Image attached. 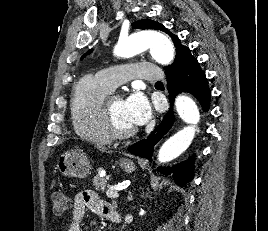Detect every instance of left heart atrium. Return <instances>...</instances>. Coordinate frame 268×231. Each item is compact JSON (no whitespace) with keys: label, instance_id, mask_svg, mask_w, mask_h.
<instances>
[{"label":"left heart atrium","instance_id":"left-heart-atrium-1","mask_svg":"<svg viewBox=\"0 0 268 231\" xmlns=\"http://www.w3.org/2000/svg\"><path fill=\"white\" fill-rule=\"evenodd\" d=\"M125 105L132 122L138 126L148 122L152 112L147 98L139 91L132 93L126 100Z\"/></svg>","mask_w":268,"mask_h":231}]
</instances>
